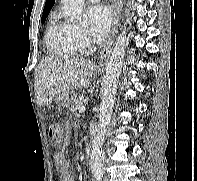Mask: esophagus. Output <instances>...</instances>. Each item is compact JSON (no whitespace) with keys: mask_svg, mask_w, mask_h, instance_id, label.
<instances>
[{"mask_svg":"<svg viewBox=\"0 0 197 181\" xmlns=\"http://www.w3.org/2000/svg\"><path fill=\"white\" fill-rule=\"evenodd\" d=\"M113 8H114L113 27L110 36L105 43L104 48L100 52L99 60L97 63V67L99 68L103 67L105 61L107 60L111 52L112 45L114 44L115 36L118 31L119 16L122 9V0H113Z\"/></svg>","mask_w":197,"mask_h":181,"instance_id":"obj_1","label":"esophagus"}]
</instances>
